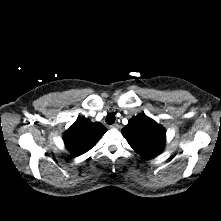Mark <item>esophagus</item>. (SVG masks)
I'll return each instance as SVG.
<instances>
[{
	"label": "esophagus",
	"instance_id": "obj_1",
	"mask_svg": "<svg viewBox=\"0 0 221 221\" xmlns=\"http://www.w3.org/2000/svg\"><path fill=\"white\" fill-rule=\"evenodd\" d=\"M110 127L113 128V129H119V128H120V125L117 124V123H114V124H112Z\"/></svg>",
	"mask_w": 221,
	"mask_h": 221
}]
</instances>
